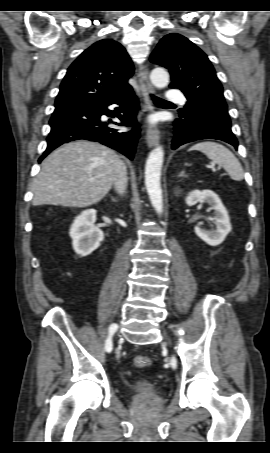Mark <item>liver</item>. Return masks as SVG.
Listing matches in <instances>:
<instances>
[{
    "label": "liver",
    "instance_id": "6515ba94",
    "mask_svg": "<svg viewBox=\"0 0 270 453\" xmlns=\"http://www.w3.org/2000/svg\"><path fill=\"white\" fill-rule=\"evenodd\" d=\"M119 156L89 141L53 151L41 164L32 186L33 206L87 207L100 202L113 185Z\"/></svg>",
    "mask_w": 270,
    "mask_h": 453
}]
</instances>
